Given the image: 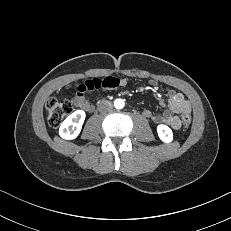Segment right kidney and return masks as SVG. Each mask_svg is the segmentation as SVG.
<instances>
[{
	"mask_svg": "<svg viewBox=\"0 0 231 231\" xmlns=\"http://www.w3.org/2000/svg\"><path fill=\"white\" fill-rule=\"evenodd\" d=\"M85 116L83 110L73 112L62 122L59 135L66 140L75 139L81 131Z\"/></svg>",
	"mask_w": 231,
	"mask_h": 231,
	"instance_id": "1",
	"label": "right kidney"
}]
</instances>
